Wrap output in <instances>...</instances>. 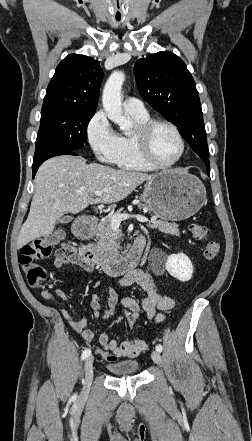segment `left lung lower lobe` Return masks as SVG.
<instances>
[{"mask_svg":"<svg viewBox=\"0 0 252 441\" xmlns=\"http://www.w3.org/2000/svg\"><path fill=\"white\" fill-rule=\"evenodd\" d=\"M206 167H207V171H208V173L210 175V166H206Z\"/></svg>","mask_w":252,"mask_h":441,"instance_id":"1","label":"left lung lower lobe"}]
</instances>
